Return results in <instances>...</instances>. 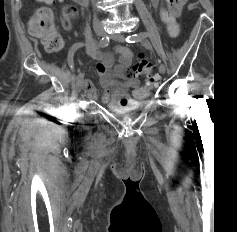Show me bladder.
Returning <instances> with one entry per match:
<instances>
[{
	"instance_id": "bladder-1",
	"label": "bladder",
	"mask_w": 237,
	"mask_h": 232,
	"mask_svg": "<svg viewBox=\"0 0 237 232\" xmlns=\"http://www.w3.org/2000/svg\"><path fill=\"white\" fill-rule=\"evenodd\" d=\"M146 100H143V101H140V102H128L126 104H110L109 107L112 109V110H116V111H119V110H131V109H135L137 107H139L142 103H144Z\"/></svg>"
}]
</instances>
